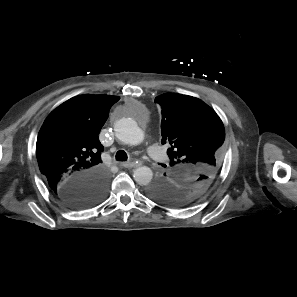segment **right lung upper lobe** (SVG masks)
<instances>
[{"instance_id":"right-lung-upper-lobe-1","label":"right lung upper lobe","mask_w":297,"mask_h":297,"mask_svg":"<svg viewBox=\"0 0 297 297\" xmlns=\"http://www.w3.org/2000/svg\"><path fill=\"white\" fill-rule=\"evenodd\" d=\"M120 98L109 95L73 97L46 118L36 144L39 169L54 194L73 178L102 166L104 148L98 135L109 110Z\"/></svg>"}]
</instances>
